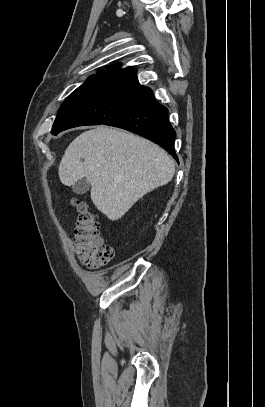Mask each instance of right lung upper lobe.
I'll return each instance as SVG.
<instances>
[{
	"label": "right lung upper lobe",
	"mask_w": 265,
	"mask_h": 407,
	"mask_svg": "<svg viewBox=\"0 0 265 407\" xmlns=\"http://www.w3.org/2000/svg\"><path fill=\"white\" fill-rule=\"evenodd\" d=\"M99 72L100 74H96L91 77H109L125 81H131L139 84L138 78L136 76V70L131 67L120 69V65L115 64L109 66L107 70H100Z\"/></svg>",
	"instance_id": "obj_1"
}]
</instances>
